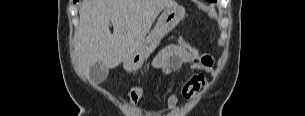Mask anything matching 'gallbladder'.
I'll return each instance as SVG.
<instances>
[{
    "mask_svg": "<svg viewBox=\"0 0 305 116\" xmlns=\"http://www.w3.org/2000/svg\"><path fill=\"white\" fill-rule=\"evenodd\" d=\"M109 74V69L101 62H97L90 68V79L96 84L104 82Z\"/></svg>",
    "mask_w": 305,
    "mask_h": 116,
    "instance_id": "obj_1",
    "label": "gallbladder"
}]
</instances>
